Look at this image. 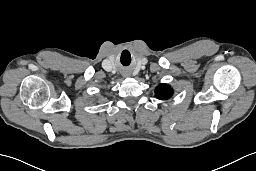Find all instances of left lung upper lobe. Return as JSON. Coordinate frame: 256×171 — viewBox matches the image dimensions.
Listing matches in <instances>:
<instances>
[{
	"label": "left lung upper lobe",
	"mask_w": 256,
	"mask_h": 171,
	"mask_svg": "<svg viewBox=\"0 0 256 171\" xmlns=\"http://www.w3.org/2000/svg\"><path fill=\"white\" fill-rule=\"evenodd\" d=\"M155 94H156L157 98L160 100L168 99L169 97L172 96L173 90L167 84H160L159 86H157V88L155 90Z\"/></svg>",
	"instance_id": "left-lung-upper-lobe-1"
}]
</instances>
